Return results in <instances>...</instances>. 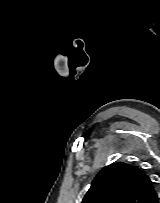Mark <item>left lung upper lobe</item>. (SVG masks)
<instances>
[{
  "instance_id": "1",
  "label": "left lung upper lobe",
  "mask_w": 160,
  "mask_h": 203,
  "mask_svg": "<svg viewBox=\"0 0 160 203\" xmlns=\"http://www.w3.org/2000/svg\"><path fill=\"white\" fill-rule=\"evenodd\" d=\"M155 183L138 167L113 163L93 180L81 203H159Z\"/></svg>"
}]
</instances>
